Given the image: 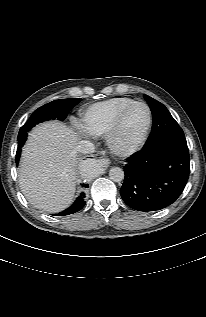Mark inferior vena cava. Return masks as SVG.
<instances>
[{
    "label": "inferior vena cava",
    "instance_id": "inferior-vena-cava-1",
    "mask_svg": "<svg viewBox=\"0 0 206 317\" xmlns=\"http://www.w3.org/2000/svg\"><path fill=\"white\" fill-rule=\"evenodd\" d=\"M76 150L82 154H89L95 151V147L90 141H80L76 146Z\"/></svg>",
    "mask_w": 206,
    "mask_h": 317
}]
</instances>
